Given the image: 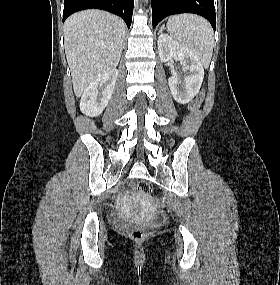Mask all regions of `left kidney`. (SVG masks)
<instances>
[{
  "label": "left kidney",
  "mask_w": 280,
  "mask_h": 285,
  "mask_svg": "<svg viewBox=\"0 0 280 285\" xmlns=\"http://www.w3.org/2000/svg\"><path fill=\"white\" fill-rule=\"evenodd\" d=\"M158 52L161 61L171 64L173 60L180 61L184 71H190L184 79L185 86H181L179 76L171 67V76L168 84L173 98L180 104L190 102L199 92L204 78V69L197 58L189 49L180 45L167 34L158 37Z\"/></svg>",
  "instance_id": "5707ae66"
}]
</instances>
